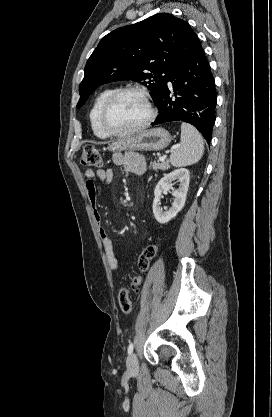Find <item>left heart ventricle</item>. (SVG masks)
<instances>
[{
  "mask_svg": "<svg viewBox=\"0 0 272 417\" xmlns=\"http://www.w3.org/2000/svg\"><path fill=\"white\" fill-rule=\"evenodd\" d=\"M148 116L144 100L136 94L120 96L110 107L107 125L113 131L123 132L140 125Z\"/></svg>",
  "mask_w": 272,
  "mask_h": 417,
  "instance_id": "1",
  "label": "left heart ventricle"
}]
</instances>
